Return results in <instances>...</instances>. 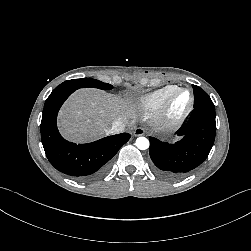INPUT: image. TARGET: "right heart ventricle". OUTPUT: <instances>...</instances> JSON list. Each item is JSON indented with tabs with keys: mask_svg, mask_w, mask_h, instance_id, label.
<instances>
[{
	"mask_svg": "<svg viewBox=\"0 0 251 251\" xmlns=\"http://www.w3.org/2000/svg\"><path fill=\"white\" fill-rule=\"evenodd\" d=\"M177 88L175 85H168L142 96L138 102V108L143 113H152L158 110L165 98Z\"/></svg>",
	"mask_w": 251,
	"mask_h": 251,
	"instance_id": "e07e8e85",
	"label": "right heart ventricle"
}]
</instances>
